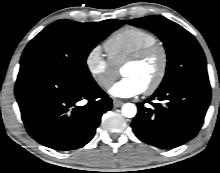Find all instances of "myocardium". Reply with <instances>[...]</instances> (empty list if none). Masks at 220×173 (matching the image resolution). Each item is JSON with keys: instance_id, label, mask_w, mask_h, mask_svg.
Here are the masks:
<instances>
[{"instance_id": "f54148a6", "label": "myocardium", "mask_w": 220, "mask_h": 173, "mask_svg": "<svg viewBox=\"0 0 220 173\" xmlns=\"http://www.w3.org/2000/svg\"><path fill=\"white\" fill-rule=\"evenodd\" d=\"M156 54L160 57V67L154 81L144 89V92L147 95L155 93L160 88L166 77L169 64L167 49L159 43L152 44L129 57L123 64L124 66L140 64Z\"/></svg>"}]
</instances>
